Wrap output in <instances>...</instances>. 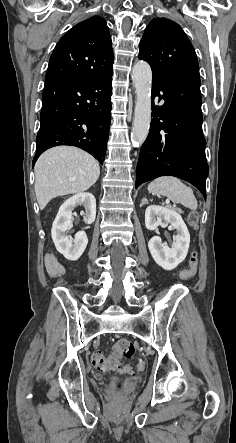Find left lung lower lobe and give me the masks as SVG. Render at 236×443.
Instances as JSON below:
<instances>
[{
  "label": "left lung lower lobe",
  "mask_w": 236,
  "mask_h": 443,
  "mask_svg": "<svg viewBox=\"0 0 236 443\" xmlns=\"http://www.w3.org/2000/svg\"><path fill=\"white\" fill-rule=\"evenodd\" d=\"M151 96L153 114L136 168V188L143 182L171 175L193 184L206 199L209 169L202 132L199 76L154 75Z\"/></svg>",
  "instance_id": "left-lung-lower-lobe-1"
}]
</instances>
